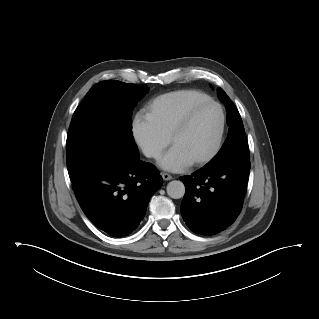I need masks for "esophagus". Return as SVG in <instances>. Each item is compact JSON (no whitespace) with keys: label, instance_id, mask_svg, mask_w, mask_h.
<instances>
[{"label":"esophagus","instance_id":"obj_1","mask_svg":"<svg viewBox=\"0 0 319 319\" xmlns=\"http://www.w3.org/2000/svg\"><path fill=\"white\" fill-rule=\"evenodd\" d=\"M162 178H163V180H165V181H169V180L172 179V176L169 175V174H167V173H162Z\"/></svg>","mask_w":319,"mask_h":319}]
</instances>
